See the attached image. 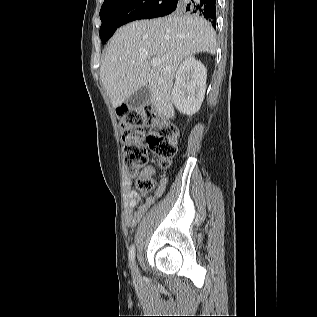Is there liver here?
I'll return each mask as SVG.
<instances>
[{
	"label": "liver",
	"instance_id": "6515ba94",
	"mask_svg": "<svg viewBox=\"0 0 317 317\" xmlns=\"http://www.w3.org/2000/svg\"><path fill=\"white\" fill-rule=\"evenodd\" d=\"M211 24L198 15L171 14L119 28L105 50L100 79L114 108L148 86L151 103L160 116L174 118L172 86L182 60L192 54H215ZM157 58L161 63L151 66Z\"/></svg>",
	"mask_w": 317,
	"mask_h": 317
}]
</instances>
